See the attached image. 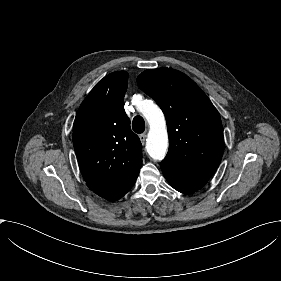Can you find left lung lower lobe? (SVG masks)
Instances as JSON below:
<instances>
[{
    "instance_id": "0a47b994",
    "label": "left lung lower lobe",
    "mask_w": 281,
    "mask_h": 281,
    "mask_svg": "<svg viewBox=\"0 0 281 281\" xmlns=\"http://www.w3.org/2000/svg\"><path fill=\"white\" fill-rule=\"evenodd\" d=\"M161 169L169 184L179 192L190 194L201 189L214 174V168H189L163 160Z\"/></svg>"
}]
</instances>
